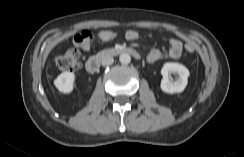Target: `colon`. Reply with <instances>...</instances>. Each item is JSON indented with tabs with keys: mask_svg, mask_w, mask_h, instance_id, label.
Wrapping results in <instances>:
<instances>
[{
	"mask_svg": "<svg viewBox=\"0 0 244 157\" xmlns=\"http://www.w3.org/2000/svg\"><path fill=\"white\" fill-rule=\"evenodd\" d=\"M118 33L113 30H104L98 34V38L103 42H108L116 39ZM94 41V35L88 30H84L74 37L75 47L68 49L63 54L57 56L54 59L55 66L62 71H75L79 67L80 53L78 48L88 49ZM185 50L188 53L194 51L192 44L188 43L185 45Z\"/></svg>",
	"mask_w": 244,
	"mask_h": 157,
	"instance_id": "1",
	"label": "colon"
}]
</instances>
